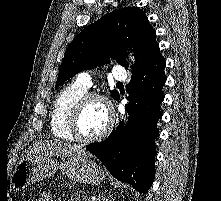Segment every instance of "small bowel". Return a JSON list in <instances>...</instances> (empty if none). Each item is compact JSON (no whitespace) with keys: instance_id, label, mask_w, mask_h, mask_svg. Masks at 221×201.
<instances>
[{"instance_id":"c3829d8e","label":"small bowel","mask_w":221,"mask_h":201,"mask_svg":"<svg viewBox=\"0 0 221 201\" xmlns=\"http://www.w3.org/2000/svg\"><path fill=\"white\" fill-rule=\"evenodd\" d=\"M37 201H55L54 198L47 194V193H42Z\"/></svg>"}]
</instances>
